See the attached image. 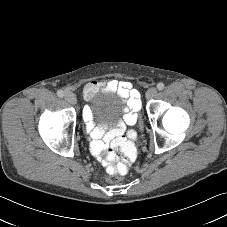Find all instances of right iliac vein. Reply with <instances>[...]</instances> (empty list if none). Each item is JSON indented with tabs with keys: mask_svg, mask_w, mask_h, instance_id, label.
Returning <instances> with one entry per match:
<instances>
[{
	"mask_svg": "<svg viewBox=\"0 0 227 227\" xmlns=\"http://www.w3.org/2000/svg\"><path fill=\"white\" fill-rule=\"evenodd\" d=\"M65 100L70 104L77 103V98H76L75 94L72 92H69V91L65 93Z\"/></svg>",
	"mask_w": 227,
	"mask_h": 227,
	"instance_id": "obj_1",
	"label": "right iliac vein"
}]
</instances>
